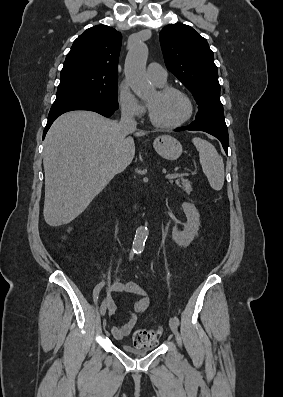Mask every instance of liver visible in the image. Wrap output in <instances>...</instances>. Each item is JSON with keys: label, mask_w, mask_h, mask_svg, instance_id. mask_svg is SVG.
Segmentation results:
<instances>
[{"label": "liver", "mask_w": 283, "mask_h": 397, "mask_svg": "<svg viewBox=\"0 0 283 397\" xmlns=\"http://www.w3.org/2000/svg\"><path fill=\"white\" fill-rule=\"evenodd\" d=\"M133 133L147 134H128ZM128 134L118 122L92 111H71L52 124L43 152V215L49 226L73 221L132 162L135 144Z\"/></svg>", "instance_id": "liver-1"}]
</instances>
